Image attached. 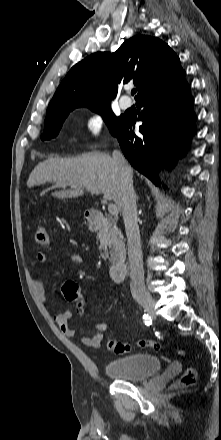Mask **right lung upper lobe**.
Masks as SVG:
<instances>
[{
    "label": "right lung upper lobe",
    "mask_w": 221,
    "mask_h": 440,
    "mask_svg": "<svg viewBox=\"0 0 221 440\" xmlns=\"http://www.w3.org/2000/svg\"><path fill=\"white\" fill-rule=\"evenodd\" d=\"M174 51L163 41L136 35L114 53L97 52L75 64L56 90L48 110L70 105L110 104L120 84L133 82L136 101L168 89L184 79Z\"/></svg>",
    "instance_id": "right-lung-upper-lobe-1"
}]
</instances>
